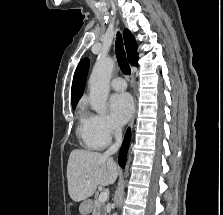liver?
<instances>
[{"label": "liver", "mask_w": 223, "mask_h": 215, "mask_svg": "<svg viewBox=\"0 0 223 215\" xmlns=\"http://www.w3.org/2000/svg\"><path fill=\"white\" fill-rule=\"evenodd\" d=\"M118 165L111 157L98 151L73 149L67 165L68 191L73 201H81L93 195L97 185L114 183Z\"/></svg>", "instance_id": "1"}]
</instances>
